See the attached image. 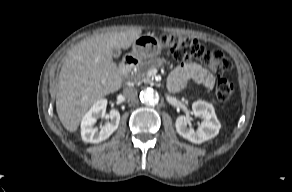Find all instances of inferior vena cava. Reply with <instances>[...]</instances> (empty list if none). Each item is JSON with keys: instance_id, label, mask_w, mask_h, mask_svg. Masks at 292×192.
Wrapping results in <instances>:
<instances>
[{"instance_id": "inferior-vena-cava-1", "label": "inferior vena cava", "mask_w": 292, "mask_h": 192, "mask_svg": "<svg viewBox=\"0 0 292 192\" xmlns=\"http://www.w3.org/2000/svg\"><path fill=\"white\" fill-rule=\"evenodd\" d=\"M123 95L128 99V100H135L138 96V91L135 87H126L123 90Z\"/></svg>"}]
</instances>
